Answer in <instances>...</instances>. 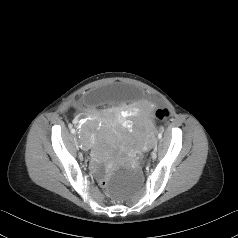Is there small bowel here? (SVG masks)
<instances>
[{"mask_svg": "<svg viewBox=\"0 0 238 238\" xmlns=\"http://www.w3.org/2000/svg\"><path fill=\"white\" fill-rule=\"evenodd\" d=\"M151 117H152L151 112H148V113L146 114L147 120L150 121V120H151ZM84 119H85V117L82 116V115H80V116H78V117L75 119V123H76V124H80Z\"/></svg>", "mask_w": 238, "mask_h": 238, "instance_id": "small-bowel-1", "label": "small bowel"}]
</instances>
